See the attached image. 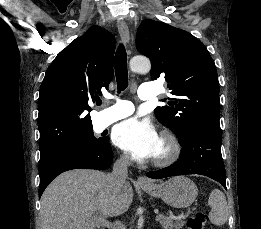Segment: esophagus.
Instances as JSON below:
<instances>
[{
    "mask_svg": "<svg viewBox=\"0 0 261 229\" xmlns=\"http://www.w3.org/2000/svg\"><path fill=\"white\" fill-rule=\"evenodd\" d=\"M117 28L119 31V34L122 37V40L126 43L129 44L130 43V32H129V28L126 25V23L123 20H119L117 22ZM138 184L140 185H147L150 186L152 183L151 181H149L146 177L144 176H139L137 179Z\"/></svg>",
    "mask_w": 261,
    "mask_h": 229,
    "instance_id": "obj_1",
    "label": "esophagus"
}]
</instances>
